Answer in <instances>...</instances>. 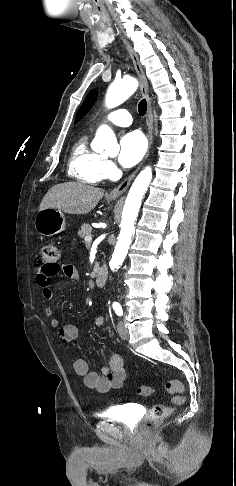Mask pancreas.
<instances>
[{
	"label": "pancreas",
	"mask_w": 236,
	"mask_h": 486,
	"mask_svg": "<svg viewBox=\"0 0 236 486\" xmlns=\"http://www.w3.org/2000/svg\"><path fill=\"white\" fill-rule=\"evenodd\" d=\"M92 227L89 224H83L81 229L78 231V236L81 238H85V236H91Z\"/></svg>",
	"instance_id": "obj_1"
}]
</instances>
